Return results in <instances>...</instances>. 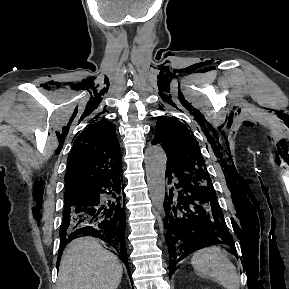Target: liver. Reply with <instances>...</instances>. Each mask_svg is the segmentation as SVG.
Segmentation results:
<instances>
[{"label": "liver", "mask_w": 289, "mask_h": 289, "mask_svg": "<svg viewBox=\"0 0 289 289\" xmlns=\"http://www.w3.org/2000/svg\"><path fill=\"white\" fill-rule=\"evenodd\" d=\"M122 271L118 258L97 239L80 237L63 252L57 289H117Z\"/></svg>", "instance_id": "liver-1"}]
</instances>
